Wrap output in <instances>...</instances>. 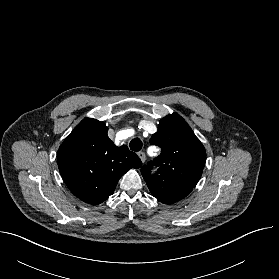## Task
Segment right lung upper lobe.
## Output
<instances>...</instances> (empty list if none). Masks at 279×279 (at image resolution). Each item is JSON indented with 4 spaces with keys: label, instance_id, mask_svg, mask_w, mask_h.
I'll list each match as a JSON object with an SVG mask.
<instances>
[{
    "label": "right lung upper lobe",
    "instance_id": "right-lung-upper-lobe-1",
    "mask_svg": "<svg viewBox=\"0 0 279 279\" xmlns=\"http://www.w3.org/2000/svg\"><path fill=\"white\" fill-rule=\"evenodd\" d=\"M107 132L103 122L86 118L64 140L57 154L59 171L68 188L92 205L105 201L129 169L142 165L126 145L115 146Z\"/></svg>",
    "mask_w": 279,
    "mask_h": 279
}]
</instances>
